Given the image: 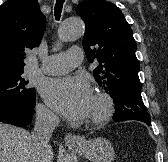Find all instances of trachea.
Instances as JSON below:
<instances>
[{
    "mask_svg": "<svg viewBox=\"0 0 168 162\" xmlns=\"http://www.w3.org/2000/svg\"><path fill=\"white\" fill-rule=\"evenodd\" d=\"M64 2L65 0H56V4L54 8L56 20H59L61 17V12H62Z\"/></svg>",
    "mask_w": 168,
    "mask_h": 162,
    "instance_id": "1",
    "label": "trachea"
}]
</instances>
